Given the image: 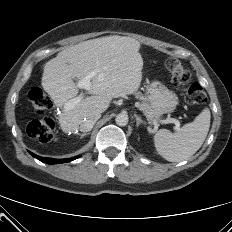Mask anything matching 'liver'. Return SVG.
Returning <instances> with one entry per match:
<instances>
[{
	"mask_svg": "<svg viewBox=\"0 0 232 232\" xmlns=\"http://www.w3.org/2000/svg\"><path fill=\"white\" fill-rule=\"evenodd\" d=\"M139 49L140 42L131 37L106 36L80 42L44 64L41 85L57 107H64L78 95L74 78L97 73L87 90L91 96L83 98L72 109L64 107L59 115L64 133L78 131L89 115L105 112L113 98L139 89L143 68Z\"/></svg>",
	"mask_w": 232,
	"mask_h": 232,
	"instance_id": "liver-1",
	"label": "liver"
}]
</instances>
